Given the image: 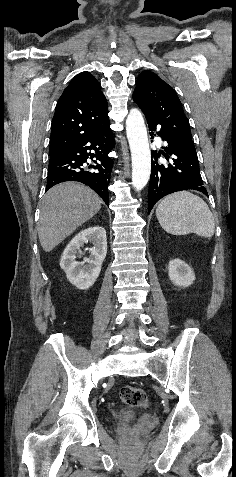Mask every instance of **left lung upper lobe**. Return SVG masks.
<instances>
[{"instance_id":"5c2ea615","label":"left lung upper lobe","mask_w":236,"mask_h":477,"mask_svg":"<svg viewBox=\"0 0 236 477\" xmlns=\"http://www.w3.org/2000/svg\"><path fill=\"white\" fill-rule=\"evenodd\" d=\"M133 99L146 119L159 125L160 131L179 147L196 153L187 117L175 92L155 73L143 71L137 79Z\"/></svg>"}]
</instances>
